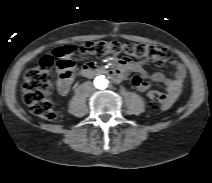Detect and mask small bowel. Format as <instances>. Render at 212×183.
<instances>
[{
    "instance_id": "1",
    "label": "small bowel",
    "mask_w": 212,
    "mask_h": 183,
    "mask_svg": "<svg viewBox=\"0 0 212 183\" xmlns=\"http://www.w3.org/2000/svg\"><path fill=\"white\" fill-rule=\"evenodd\" d=\"M145 63L146 60L132 61L128 58H123L118 63V70L122 74L134 72L135 75L132 78V83L134 87L141 92H145L150 88V84L146 79L163 84L166 89L167 101L160 108L166 110L176 101L182 91L186 78V69L183 64L177 63L174 77L168 78L162 72L149 74L144 67ZM58 73L57 90L61 95H67L70 91L73 77L65 76L60 70H58Z\"/></svg>"
}]
</instances>
